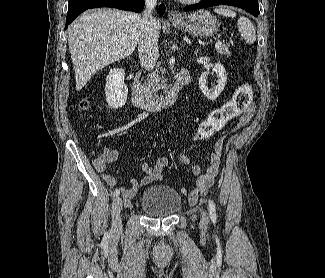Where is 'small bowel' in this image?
I'll use <instances>...</instances> for the list:
<instances>
[{"instance_id": "c3829d8e", "label": "small bowel", "mask_w": 325, "mask_h": 278, "mask_svg": "<svg viewBox=\"0 0 325 278\" xmlns=\"http://www.w3.org/2000/svg\"><path fill=\"white\" fill-rule=\"evenodd\" d=\"M253 114L254 106L251 104V106L244 110L241 114L237 123V127H242L247 124L252 118ZM137 144V141L134 142L132 144V147H135ZM222 149L223 140L220 139L215 143L212 153L210 155V162L203 173L201 167L198 164H191L190 158L186 154L179 155V162L183 165L190 166L192 174L198 176L196 187L193 190H188L185 188L181 189V192L184 195H188L192 199H194L196 196L208 191L217 174L221 160ZM121 157L122 153L120 151L106 147L93 162L96 170L102 174L104 181L110 186H114L117 184V178L113 175L105 173L106 166L107 164L112 163L120 159ZM122 163H124V161ZM168 164L169 158L165 156L159 157L152 162L144 163L142 165L144 176L139 180L133 178L130 179V187L121 189L125 205H130L131 199L136 195L139 189L148 186L154 182L165 181L167 177L164 174V169L166 166H168Z\"/></svg>"}]
</instances>
